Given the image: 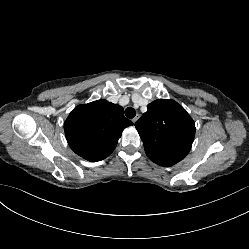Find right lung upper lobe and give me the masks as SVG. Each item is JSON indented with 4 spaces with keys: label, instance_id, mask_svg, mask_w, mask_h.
I'll return each mask as SVG.
<instances>
[{
    "label": "right lung upper lobe",
    "instance_id": "right-lung-upper-lobe-1",
    "mask_svg": "<svg viewBox=\"0 0 249 249\" xmlns=\"http://www.w3.org/2000/svg\"><path fill=\"white\" fill-rule=\"evenodd\" d=\"M133 125L124 117L123 107L97 100L77 106L64 123L71 149L82 158L96 162L115 149L123 130Z\"/></svg>",
    "mask_w": 249,
    "mask_h": 249
}]
</instances>
